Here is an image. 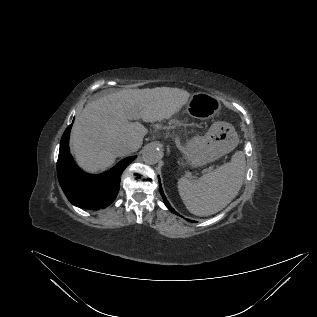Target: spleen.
I'll use <instances>...</instances> for the list:
<instances>
[{
  "instance_id": "spleen-1",
  "label": "spleen",
  "mask_w": 317,
  "mask_h": 317,
  "mask_svg": "<svg viewBox=\"0 0 317 317\" xmlns=\"http://www.w3.org/2000/svg\"><path fill=\"white\" fill-rule=\"evenodd\" d=\"M246 160L242 151L231 161L196 180H178L179 195L194 215L209 216L225 208L238 194L245 175Z\"/></svg>"
}]
</instances>
